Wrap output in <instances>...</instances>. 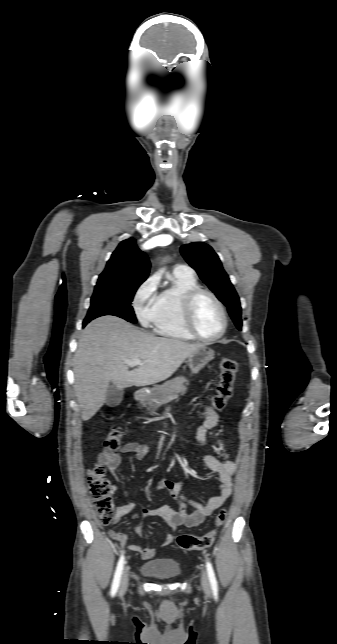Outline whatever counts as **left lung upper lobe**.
Here are the masks:
<instances>
[{"label":"left lung upper lobe","mask_w":337,"mask_h":644,"mask_svg":"<svg viewBox=\"0 0 337 644\" xmlns=\"http://www.w3.org/2000/svg\"><path fill=\"white\" fill-rule=\"evenodd\" d=\"M181 254L188 264L196 270L199 277L228 308L236 327L241 330V306L239 297L224 271L221 261L207 244L195 242L181 246Z\"/></svg>","instance_id":"1"}]
</instances>
